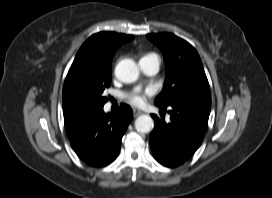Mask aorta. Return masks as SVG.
Instances as JSON below:
<instances>
[{"label": "aorta", "instance_id": "1", "mask_svg": "<svg viewBox=\"0 0 272 198\" xmlns=\"http://www.w3.org/2000/svg\"><path fill=\"white\" fill-rule=\"evenodd\" d=\"M115 75L124 83H132L139 77V69L133 60L123 59L116 65ZM134 125L138 132L148 133L153 129L154 121L149 115H141Z\"/></svg>", "mask_w": 272, "mask_h": 198}]
</instances>
